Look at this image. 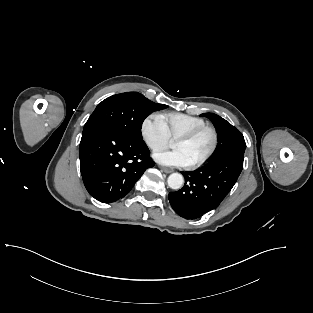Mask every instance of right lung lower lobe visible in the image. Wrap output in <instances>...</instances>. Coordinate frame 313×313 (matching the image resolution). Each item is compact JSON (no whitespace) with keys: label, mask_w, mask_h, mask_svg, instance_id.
I'll list each match as a JSON object with an SVG mask.
<instances>
[{"label":"right lung lower lobe","mask_w":313,"mask_h":313,"mask_svg":"<svg viewBox=\"0 0 313 313\" xmlns=\"http://www.w3.org/2000/svg\"><path fill=\"white\" fill-rule=\"evenodd\" d=\"M143 140L110 129L82 134L79 157L84 185L103 203L115 202L134 187L147 168L155 165Z\"/></svg>","instance_id":"1"}]
</instances>
